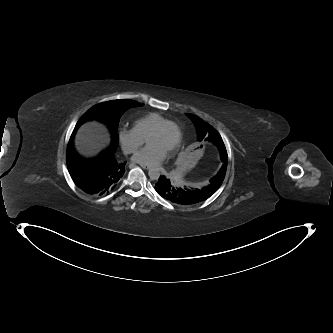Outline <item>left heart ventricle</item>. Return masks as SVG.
I'll return each mask as SVG.
<instances>
[{
    "instance_id": "b2bd125f",
    "label": "left heart ventricle",
    "mask_w": 333,
    "mask_h": 333,
    "mask_svg": "<svg viewBox=\"0 0 333 333\" xmlns=\"http://www.w3.org/2000/svg\"><path fill=\"white\" fill-rule=\"evenodd\" d=\"M176 139V131L173 128H168L162 134L152 135L148 138V144H154L168 151Z\"/></svg>"
}]
</instances>
